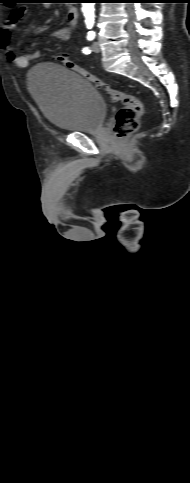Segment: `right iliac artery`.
Instances as JSON below:
<instances>
[{
	"mask_svg": "<svg viewBox=\"0 0 190 483\" xmlns=\"http://www.w3.org/2000/svg\"><path fill=\"white\" fill-rule=\"evenodd\" d=\"M86 26H87L88 29H91L92 26H93V23H86Z\"/></svg>",
	"mask_w": 190,
	"mask_h": 483,
	"instance_id": "82829eb1",
	"label": "right iliac artery"
}]
</instances>
